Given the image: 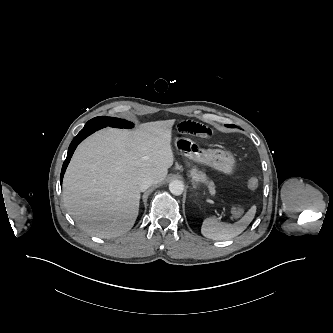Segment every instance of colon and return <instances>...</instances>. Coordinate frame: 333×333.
Masks as SVG:
<instances>
[{"label":"colon","mask_w":333,"mask_h":333,"mask_svg":"<svg viewBox=\"0 0 333 333\" xmlns=\"http://www.w3.org/2000/svg\"><path fill=\"white\" fill-rule=\"evenodd\" d=\"M247 188L250 191H255L258 188V181H257V179L250 178L247 181ZM243 212H244L243 208L241 206H239V205L233 206L232 209H231V215L235 219L240 218L242 216Z\"/></svg>","instance_id":"1"}]
</instances>
